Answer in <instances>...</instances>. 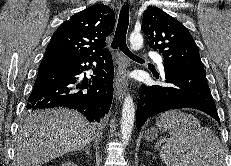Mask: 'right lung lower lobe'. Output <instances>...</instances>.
Listing matches in <instances>:
<instances>
[{
	"instance_id": "obj_1",
	"label": "right lung lower lobe",
	"mask_w": 231,
	"mask_h": 166,
	"mask_svg": "<svg viewBox=\"0 0 231 166\" xmlns=\"http://www.w3.org/2000/svg\"><path fill=\"white\" fill-rule=\"evenodd\" d=\"M96 62L94 66L92 63ZM93 69L95 76H82ZM114 67L109 52L100 56L73 57L45 53L28 98L27 110L67 107L100 121L113 98Z\"/></svg>"
}]
</instances>
